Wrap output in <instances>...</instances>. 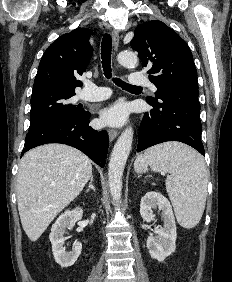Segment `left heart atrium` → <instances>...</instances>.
<instances>
[{"label": "left heart atrium", "instance_id": "1", "mask_svg": "<svg viewBox=\"0 0 232 282\" xmlns=\"http://www.w3.org/2000/svg\"><path fill=\"white\" fill-rule=\"evenodd\" d=\"M127 115V106L123 103H116L101 112L100 122L103 125L118 126L125 122Z\"/></svg>", "mask_w": 232, "mask_h": 282}]
</instances>
